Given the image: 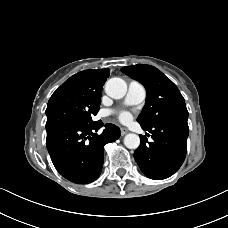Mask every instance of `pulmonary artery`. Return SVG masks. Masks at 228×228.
<instances>
[{"mask_svg": "<svg viewBox=\"0 0 228 228\" xmlns=\"http://www.w3.org/2000/svg\"><path fill=\"white\" fill-rule=\"evenodd\" d=\"M146 95V89L140 82L131 81L128 85V91L124 99V103L126 105L140 104L145 100Z\"/></svg>", "mask_w": 228, "mask_h": 228, "instance_id": "pulmonary-artery-1", "label": "pulmonary artery"}]
</instances>
